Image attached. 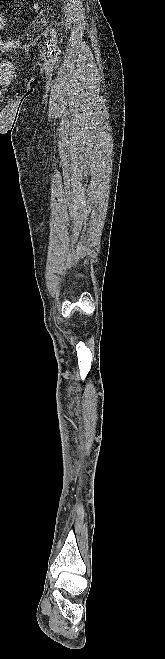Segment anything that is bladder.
<instances>
[{"label":"bladder","mask_w":165,"mask_h":659,"mask_svg":"<svg viewBox=\"0 0 165 659\" xmlns=\"http://www.w3.org/2000/svg\"><path fill=\"white\" fill-rule=\"evenodd\" d=\"M8 27V19L6 16L0 11V31L6 30Z\"/></svg>","instance_id":"31cf9c89"}]
</instances>
